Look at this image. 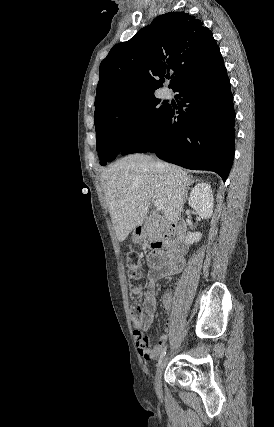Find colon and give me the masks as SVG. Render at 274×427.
<instances>
[{
  "label": "colon",
  "mask_w": 274,
  "mask_h": 427,
  "mask_svg": "<svg viewBox=\"0 0 274 427\" xmlns=\"http://www.w3.org/2000/svg\"><path fill=\"white\" fill-rule=\"evenodd\" d=\"M128 261L130 273L128 278L129 291L134 298H139V293L145 286V279L143 278L142 272L137 268V264L140 262L139 254L134 252L130 253ZM130 312L133 319H141L142 309L139 303H133Z\"/></svg>",
  "instance_id": "1"
}]
</instances>
